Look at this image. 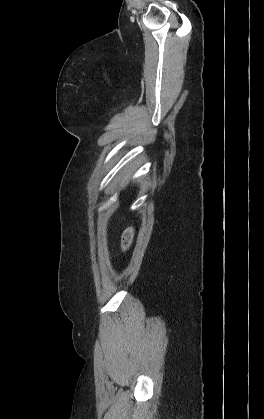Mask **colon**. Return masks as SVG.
Listing matches in <instances>:
<instances>
[{"mask_svg": "<svg viewBox=\"0 0 264 419\" xmlns=\"http://www.w3.org/2000/svg\"><path fill=\"white\" fill-rule=\"evenodd\" d=\"M133 238H134V229L132 226L127 227L122 235V248L123 250H127L129 249V247L131 246L132 242H133Z\"/></svg>", "mask_w": 264, "mask_h": 419, "instance_id": "5ec220e1", "label": "colon"}]
</instances>
